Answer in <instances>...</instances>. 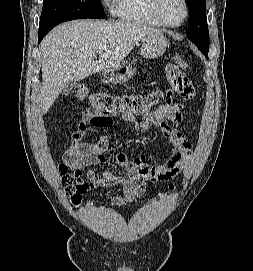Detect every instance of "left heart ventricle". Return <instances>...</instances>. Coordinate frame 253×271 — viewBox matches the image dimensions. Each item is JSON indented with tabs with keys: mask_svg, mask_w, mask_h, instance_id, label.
Listing matches in <instances>:
<instances>
[{
	"mask_svg": "<svg viewBox=\"0 0 253 271\" xmlns=\"http://www.w3.org/2000/svg\"><path fill=\"white\" fill-rule=\"evenodd\" d=\"M161 10L165 18L173 24L184 17V6L181 0H161Z\"/></svg>",
	"mask_w": 253,
	"mask_h": 271,
	"instance_id": "obj_1",
	"label": "left heart ventricle"
}]
</instances>
